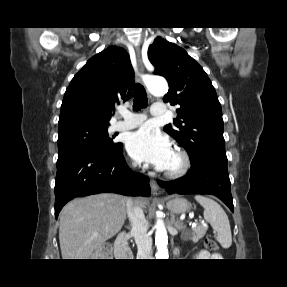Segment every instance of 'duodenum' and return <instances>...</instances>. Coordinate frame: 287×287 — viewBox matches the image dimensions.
I'll return each instance as SVG.
<instances>
[{
  "mask_svg": "<svg viewBox=\"0 0 287 287\" xmlns=\"http://www.w3.org/2000/svg\"><path fill=\"white\" fill-rule=\"evenodd\" d=\"M129 235L126 232L120 233L116 241V256L122 259L132 258V253L128 246Z\"/></svg>",
  "mask_w": 287,
  "mask_h": 287,
  "instance_id": "obj_1",
  "label": "duodenum"
}]
</instances>
